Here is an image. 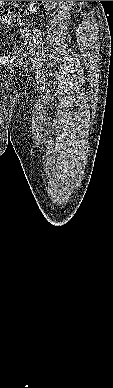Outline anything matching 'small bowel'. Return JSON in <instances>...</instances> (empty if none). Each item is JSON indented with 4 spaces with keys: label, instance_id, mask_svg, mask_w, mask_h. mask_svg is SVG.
<instances>
[{
    "label": "small bowel",
    "instance_id": "small-bowel-1",
    "mask_svg": "<svg viewBox=\"0 0 113 388\" xmlns=\"http://www.w3.org/2000/svg\"><path fill=\"white\" fill-rule=\"evenodd\" d=\"M5 1H0V7L4 5Z\"/></svg>",
    "mask_w": 113,
    "mask_h": 388
}]
</instances>
